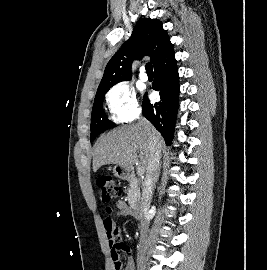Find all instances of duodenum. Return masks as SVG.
<instances>
[{
    "mask_svg": "<svg viewBox=\"0 0 267 270\" xmlns=\"http://www.w3.org/2000/svg\"><path fill=\"white\" fill-rule=\"evenodd\" d=\"M135 215L139 221H145L148 216V211L145 210L141 205L135 207Z\"/></svg>",
    "mask_w": 267,
    "mask_h": 270,
    "instance_id": "duodenum-1",
    "label": "duodenum"
}]
</instances>
